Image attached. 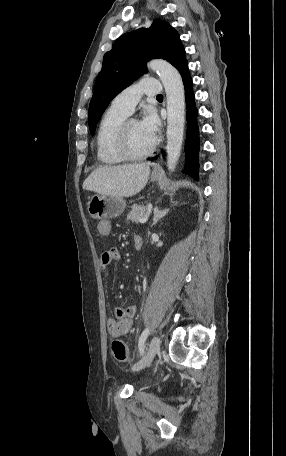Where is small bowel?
I'll list each match as a JSON object with an SVG mask.
<instances>
[{
	"mask_svg": "<svg viewBox=\"0 0 286 456\" xmlns=\"http://www.w3.org/2000/svg\"><path fill=\"white\" fill-rule=\"evenodd\" d=\"M111 223L102 220L97 225L98 233L102 236H108L111 233ZM121 254L118 248H109L103 251L99 258V265L103 272H106L109 265L119 261ZM137 308L135 305L126 307L118 306L114 309V317L107 320V331L113 337H119L127 334L132 328V320L136 315Z\"/></svg>",
	"mask_w": 286,
	"mask_h": 456,
	"instance_id": "obj_1",
	"label": "small bowel"
}]
</instances>
